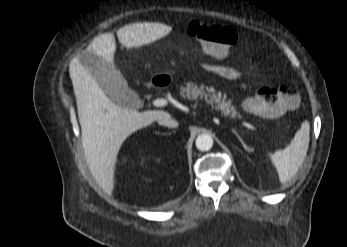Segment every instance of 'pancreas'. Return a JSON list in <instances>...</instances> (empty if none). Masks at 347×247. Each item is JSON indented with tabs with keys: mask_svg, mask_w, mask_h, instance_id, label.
Listing matches in <instances>:
<instances>
[{
	"mask_svg": "<svg viewBox=\"0 0 347 247\" xmlns=\"http://www.w3.org/2000/svg\"><path fill=\"white\" fill-rule=\"evenodd\" d=\"M180 95L190 100H203L210 104L213 109L220 111L222 115L229 116L230 119H241L242 116L233 106L232 101L226 98V95L220 91L216 92L214 88L207 87L206 91L203 86L187 82L185 86L179 88Z\"/></svg>",
	"mask_w": 347,
	"mask_h": 247,
	"instance_id": "1",
	"label": "pancreas"
}]
</instances>
